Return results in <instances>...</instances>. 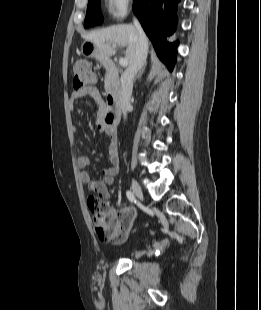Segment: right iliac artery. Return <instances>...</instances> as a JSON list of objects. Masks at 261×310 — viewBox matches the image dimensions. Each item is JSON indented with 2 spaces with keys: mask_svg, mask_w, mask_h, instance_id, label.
Listing matches in <instances>:
<instances>
[{
  "mask_svg": "<svg viewBox=\"0 0 261 310\" xmlns=\"http://www.w3.org/2000/svg\"><path fill=\"white\" fill-rule=\"evenodd\" d=\"M126 196H127V198H128L131 202H136L135 196H134V194H133L131 191H127V192H126Z\"/></svg>",
  "mask_w": 261,
  "mask_h": 310,
  "instance_id": "82829eb1",
  "label": "right iliac artery"
}]
</instances>
